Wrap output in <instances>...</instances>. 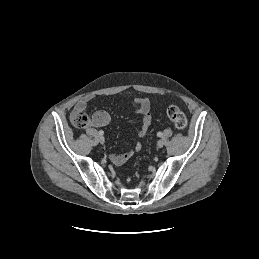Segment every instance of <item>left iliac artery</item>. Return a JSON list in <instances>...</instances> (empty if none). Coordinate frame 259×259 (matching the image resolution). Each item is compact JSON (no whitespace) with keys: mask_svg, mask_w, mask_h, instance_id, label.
<instances>
[{"mask_svg":"<svg viewBox=\"0 0 259 259\" xmlns=\"http://www.w3.org/2000/svg\"><path fill=\"white\" fill-rule=\"evenodd\" d=\"M157 136H158V137H161V136H162V133H161V132H158V133H157Z\"/></svg>","mask_w":259,"mask_h":259,"instance_id":"44dca946","label":"left iliac artery"}]
</instances>
